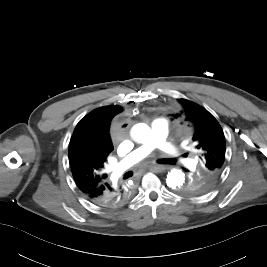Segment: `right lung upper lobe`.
<instances>
[{"mask_svg":"<svg viewBox=\"0 0 267 267\" xmlns=\"http://www.w3.org/2000/svg\"><path fill=\"white\" fill-rule=\"evenodd\" d=\"M121 112L119 106H105L93 110L77 124L69 144V162L74 180L83 192L107 182L104 164L113 150L108 134L109 122ZM92 165V175L84 176L85 167Z\"/></svg>","mask_w":267,"mask_h":267,"instance_id":"right-lung-upper-lobe-1","label":"right lung upper lobe"}]
</instances>
